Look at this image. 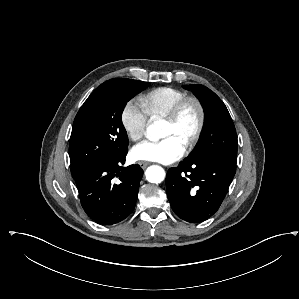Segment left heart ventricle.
Returning a JSON list of instances; mask_svg holds the SVG:
<instances>
[{
    "instance_id": "1",
    "label": "left heart ventricle",
    "mask_w": 299,
    "mask_h": 299,
    "mask_svg": "<svg viewBox=\"0 0 299 299\" xmlns=\"http://www.w3.org/2000/svg\"><path fill=\"white\" fill-rule=\"evenodd\" d=\"M198 118L199 114L196 106L189 104L177 123L164 122L161 137H172L185 147L195 133Z\"/></svg>"
}]
</instances>
